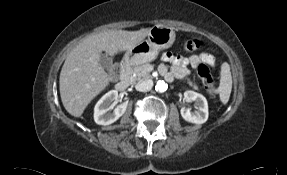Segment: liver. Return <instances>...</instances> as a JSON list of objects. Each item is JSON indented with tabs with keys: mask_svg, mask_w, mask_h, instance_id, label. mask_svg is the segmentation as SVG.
I'll list each match as a JSON object with an SVG mask.
<instances>
[{
	"mask_svg": "<svg viewBox=\"0 0 287 175\" xmlns=\"http://www.w3.org/2000/svg\"><path fill=\"white\" fill-rule=\"evenodd\" d=\"M150 29L93 34L69 53L59 78L61 100L69 114L80 117L87 105L109 85L110 78L99 64L102 51L110 56L127 51L143 41Z\"/></svg>",
	"mask_w": 287,
	"mask_h": 175,
	"instance_id": "obj_1",
	"label": "liver"
}]
</instances>
